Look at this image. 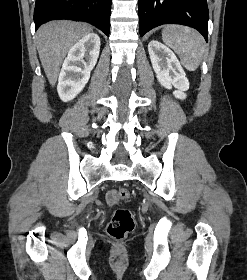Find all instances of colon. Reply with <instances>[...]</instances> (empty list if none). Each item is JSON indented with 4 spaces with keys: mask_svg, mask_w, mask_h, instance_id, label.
<instances>
[{
    "mask_svg": "<svg viewBox=\"0 0 247 280\" xmlns=\"http://www.w3.org/2000/svg\"><path fill=\"white\" fill-rule=\"evenodd\" d=\"M114 198L116 201L128 200L130 198V192L127 188H118L114 190ZM134 227L135 220L132 211L125 208H118L114 211L106 230L110 237L121 240L130 234Z\"/></svg>",
    "mask_w": 247,
    "mask_h": 280,
    "instance_id": "obj_1",
    "label": "colon"
}]
</instances>
